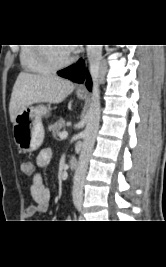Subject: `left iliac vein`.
I'll use <instances>...</instances> for the list:
<instances>
[{"label":"left iliac vein","mask_w":166,"mask_h":267,"mask_svg":"<svg viewBox=\"0 0 166 267\" xmlns=\"http://www.w3.org/2000/svg\"><path fill=\"white\" fill-rule=\"evenodd\" d=\"M80 220H82V221L84 220V216L83 215L80 216Z\"/></svg>","instance_id":"4c4485c4"}]
</instances>
